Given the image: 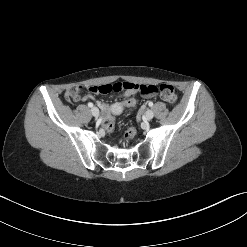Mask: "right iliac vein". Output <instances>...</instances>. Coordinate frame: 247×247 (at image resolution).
Masks as SVG:
<instances>
[{
  "label": "right iliac vein",
  "instance_id": "1",
  "mask_svg": "<svg viewBox=\"0 0 247 247\" xmlns=\"http://www.w3.org/2000/svg\"><path fill=\"white\" fill-rule=\"evenodd\" d=\"M91 113L94 117H98L99 116V109L97 107H93L91 109Z\"/></svg>",
  "mask_w": 247,
  "mask_h": 247
}]
</instances>
